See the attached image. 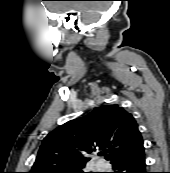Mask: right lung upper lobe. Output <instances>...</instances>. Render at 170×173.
Instances as JSON below:
<instances>
[{
  "label": "right lung upper lobe",
  "mask_w": 170,
  "mask_h": 173,
  "mask_svg": "<svg viewBox=\"0 0 170 173\" xmlns=\"http://www.w3.org/2000/svg\"><path fill=\"white\" fill-rule=\"evenodd\" d=\"M143 144L138 125L119 105H104L63 124L43 140L30 173H72L90 158L85 153L107 150L113 161Z\"/></svg>",
  "instance_id": "1"
}]
</instances>
